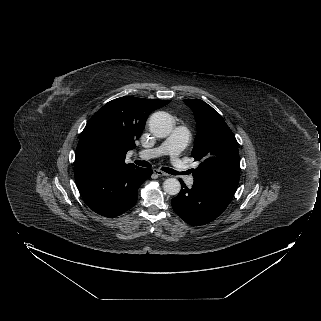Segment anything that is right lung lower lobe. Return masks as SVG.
I'll use <instances>...</instances> for the list:
<instances>
[{"mask_svg":"<svg viewBox=\"0 0 321 321\" xmlns=\"http://www.w3.org/2000/svg\"><path fill=\"white\" fill-rule=\"evenodd\" d=\"M152 174L151 169H109L76 180L77 188L88 207L105 217H116L137 202V191Z\"/></svg>","mask_w":321,"mask_h":321,"instance_id":"1","label":"right lung lower lobe"}]
</instances>
